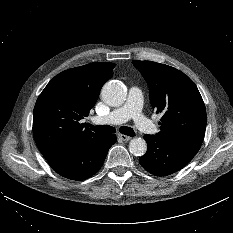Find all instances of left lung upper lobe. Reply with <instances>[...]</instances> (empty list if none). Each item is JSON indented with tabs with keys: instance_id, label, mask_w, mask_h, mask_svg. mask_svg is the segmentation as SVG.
Listing matches in <instances>:
<instances>
[{
	"instance_id": "5c2ea615",
	"label": "left lung upper lobe",
	"mask_w": 233,
	"mask_h": 233,
	"mask_svg": "<svg viewBox=\"0 0 233 233\" xmlns=\"http://www.w3.org/2000/svg\"><path fill=\"white\" fill-rule=\"evenodd\" d=\"M149 85L150 102L162 113L157 137L200 146L206 129V109L193 81L181 71L152 61H133Z\"/></svg>"
}]
</instances>
